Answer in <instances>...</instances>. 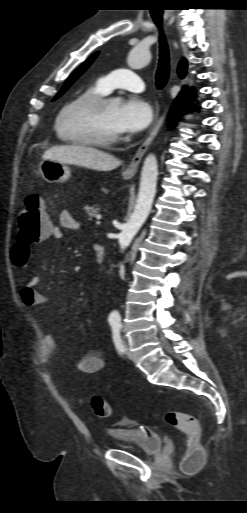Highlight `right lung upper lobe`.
I'll return each mask as SVG.
<instances>
[{
	"label": "right lung upper lobe",
	"instance_id": "1",
	"mask_svg": "<svg viewBox=\"0 0 247 513\" xmlns=\"http://www.w3.org/2000/svg\"><path fill=\"white\" fill-rule=\"evenodd\" d=\"M187 72V61L186 59H182L178 66V74L181 78H183L186 75Z\"/></svg>",
	"mask_w": 247,
	"mask_h": 513
}]
</instances>
